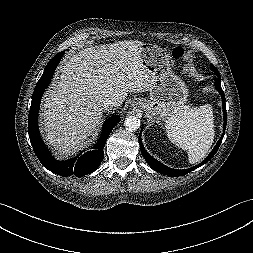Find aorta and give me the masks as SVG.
I'll list each match as a JSON object with an SVG mask.
<instances>
[{
	"label": "aorta",
	"mask_w": 253,
	"mask_h": 253,
	"mask_svg": "<svg viewBox=\"0 0 253 253\" xmlns=\"http://www.w3.org/2000/svg\"><path fill=\"white\" fill-rule=\"evenodd\" d=\"M124 124L127 130L134 131L140 127V119L136 116H129L125 119Z\"/></svg>",
	"instance_id": "obj_1"
}]
</instances>
